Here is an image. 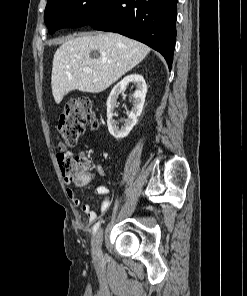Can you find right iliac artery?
Here are the masks:
<instances>
[{
  "instance_id": "1",
  "label": "right iliac artery",
  "mask_w": 247,
  "mask_h": 296,
  "mask_svg": "<svg viewBox=\"0 0 247 296\" xmlns=\"http://www.w3.org/2000/svg\"><path fill=\"white\" fill-rule=\"evenodd\" d=\"M99 226H100V221L95 223V225L93 226V234H95L97 232V230L99 229Z\"/></svg>"
}]
</instances>
